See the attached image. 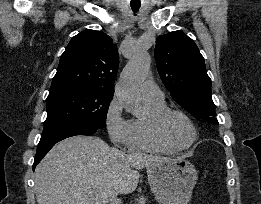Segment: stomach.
<instances>
[{
	"mask_svg": "<svg viewBox=\"0 0 261 204\" xmlns=\"http://www.w3.org/2000/svg\"><path fill=\"white\" fill-rule=\"evenodd\" d=\"M147 176L159 204H188L198 178L194 165L183 157L149 165Z\"/></svg>",
	"mask_w": 261,
	"mask_h": 204,
	"instance_id": "obj_1",
	"label": "stomach"
}]
</instances>
